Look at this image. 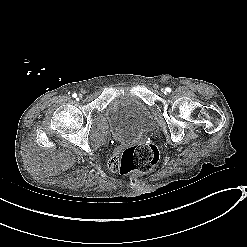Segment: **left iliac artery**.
Returning a JSON list of instances; mask_svg holds the SVG:
<instances>
[{
  "label": "left iliac artery",
  "mask_w": 247,
  "mask_h": 247,
  "mask_svg": "<svg viewBox=\"0 0 247 247\" xmlns=\"http://www.w3.org/2000/svg\"><path fill=\"white\" fill-rule=\"evenodd\" d=\"M165 91L168 92V93H170V92H171V88L167 87V88L165 89Z\"/></svg>",
  "instance_id": "1"
}]
</instances>
